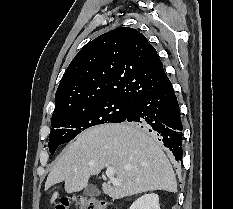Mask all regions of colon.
<instances>
[{
  "instance_id": "colon-1",
  "label": "colon",
  "mask_w": 233,
  "mask_h": 209,
  "mask_svg": "<svg viewBox=\"0 0 233 209\" xmlns=\"http://www.w3.org/2000/svg\"><path fill=\"white\" fill-rule=\"evenodd\" d=\"M70 205H74L75 209H112L106 201L85 197L64 199L54 209H68Z\"/></svg>"
}]
</instances>
